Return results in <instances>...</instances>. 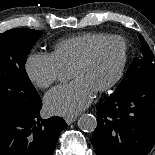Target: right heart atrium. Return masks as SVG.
<instances>
[{"instance_id":"obj_1","label":"right heart atrium","mask_w":155,"mask_h":155,"mask_svg":"<svg viewBox=\"0 0 155 155\" xmlns=\"http://www.w3.org/2000/svg\"><path fill=\"white\" fill-rule=\"evenodd\" d=\"M25 71L36 87L45 89L58 80L62 67L51 54L32 53L25 62Z\"/></svg>"}]
</instances>
